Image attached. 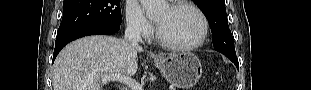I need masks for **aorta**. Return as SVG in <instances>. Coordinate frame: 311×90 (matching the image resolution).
Here are the masks:
<instances>
[{
  "label": "aorta",
  "mask_w": 311,
  "mask_h": 90,
  "mask_svg": "<svg viewBox=\"0 0 311 90\" xmlns=\"http://www.w3.org/2000/svg\"><path fill=\"white\" fill-rule=\"evenodd\" d=\"M149 18L157 16L166 8V0H140Z\"/></svg>",
  "instance_id": "1"
}]
</instances>
